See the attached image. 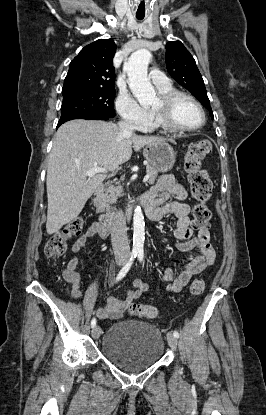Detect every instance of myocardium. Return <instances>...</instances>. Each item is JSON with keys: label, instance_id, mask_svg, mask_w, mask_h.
Returning a JSON list of instances; mask_svg holds the SVG:
<instances>
[{"label": "myocardium", "instance_id": "1", "mask_svg": "<svg viewBox=\"0 0 266 415\" xmlns=\"http://www.w3.org/2000/svg\"><path fill=\"white\" fill-rule=\"evenodd\" d=\"M179 98H186L190 100L198 108L201 114V122L198 125L193 127H183L178 125L173 120L172 109L174 103ZM153 112L159 124L166 130L172 132H193L202 128L206 123V113L201 103L193 95L180 90H171L161 93L159 97V105L153 107Z\"/></svg>", "mask_w": 266, "mask_h": 415}]
</instances>
